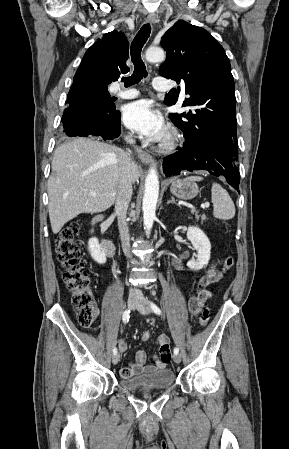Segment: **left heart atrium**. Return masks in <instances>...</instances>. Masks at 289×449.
<instances>
[{
	"label": "left heart atrium",
	"mask_w": 289,
	"mask_h": 449,
	"mask_svg": "<svg viewBox=\"0 0 289 449\" xmlns=\"http://www.w3.org/2000/svg\"><path fill=\"white\" fill-rule=\"evenodd\" d=\"M123 122L129 129L148 140L157 141L165 135L163 118L148 100L128 104L124 108Z\"/></svg>",
	"instance_id": "39dd6f15"
}]
</instances>
